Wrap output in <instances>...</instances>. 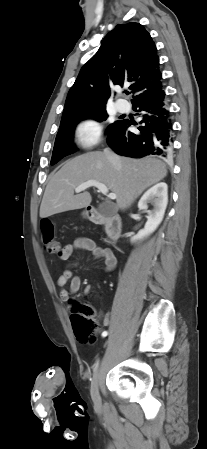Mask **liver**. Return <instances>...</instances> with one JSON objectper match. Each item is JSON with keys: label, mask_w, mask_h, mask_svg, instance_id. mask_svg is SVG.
Returning a JSON list of instances; mask_svg holds the SVG:
<instances>
[{"label": "liver", "mask_w": 207, "mask_h": 449, "mask_svg": "<svg viewBox=\"0 0 207 449\" xmlns=\"http://www.w3.org/2000/svg\"><path fill=\"white\" fill-rule=\"evenodd\" d=\"M120 169L100 151L88 152L68 160L50 179L40 206V217L81 209L91 203L89 192L74 195L84 182L95 180L116 194L119 209L131 206L144 190L167 175L166 165L153 157H119Z\"/></svg>", "instance_id": "obj_1"}]
</instances>
